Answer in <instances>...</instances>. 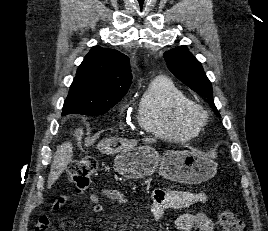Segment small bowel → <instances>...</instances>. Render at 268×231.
<instances>
[{
  "label": "small bowel",
  "instance_id": "c3829d8e",
  "mask_svg": "<svg viewBox=\"0 0 268 231\" xmlns=\"http://www.w3.org/2000/svg\"><path fill=\"white\" fill-rule=\"evenodd\" d=\"M105 196L112 201L127 205L129 198L121 191L115 188H106L98 193L89 195V202L95 213H101L104 210L100 203V196ZM208 196L205 192H189V191H165L156 190L153 195V201L150 207L152 217L156 221H160L166 211L171 209H183L194 204L206 205ZM58 209V206L51 207L52 211ZM50 219L47 215H40L34 227V231H47L49 229ZM177 231H214L211 218L205 213H185L180 215L175 221Z\"/></svg>",
  "mask_w": 268,
  "mask_h": 231
}]
</instances>
